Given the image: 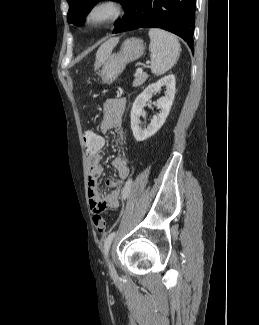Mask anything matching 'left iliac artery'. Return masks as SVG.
Masks as SVG:
<instances>
[{"label": "left iliac artery", "instance_id": "obj_1", "mask_svg": "<svg viewBox=\"0 0 259 325\" xmlns=\"http://www.w3.org/2000/svg\"><path fill=\"white\" fill-rule=\"evenodd\" d=\"M132 180H128L125 184L124 191H123V198L126 199L128 197L130 188H131ZM115 237V232L110 233L104 241V256L107 259L108 251L110 245L112 243L113 238Z\"/></svg>", "mask_w": 259, "mask_h": 325}]
</instances>
